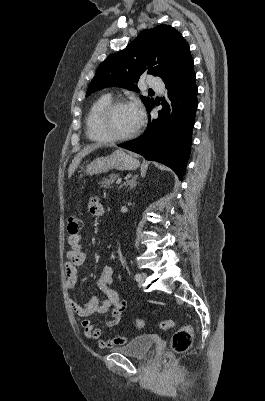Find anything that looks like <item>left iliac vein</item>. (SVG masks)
<instances>
[{"label":"left iliac vein","instance_id":"1","mask_svg":"<svg viewBox=\"0 0 265 401\" xmlns=\"http://www.w3.org/2000/svg\"><path fill=\"white\" fill-rule=\"evenodd\" d=\"M146 277H147V275L145 273H139L137 275L138 283L141 285L144 282V280L146 279Z\"/></svg>","mask_w":265,"mask_h":401}]
</instances>
